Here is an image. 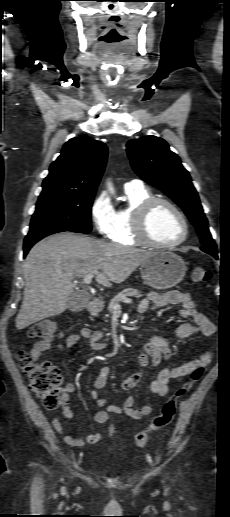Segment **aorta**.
I'll return each mask as SVG.
<instances>
[{
  "label": "aorta",
  "mask_w": 230,
  "mask_h": 517,
  "mask_svg": "<svg viewBox=\"0 0 230 517\" xmlns=\"http://www.w3.org/2000/svg\"><path fill=\"white\" fill-rule=\"evenodd\" d=\"M109 188H110V189L112 190V187H111V185H109Z\"/></svg>",
  "instance_id": "aorta-1"
}]
</instances>
